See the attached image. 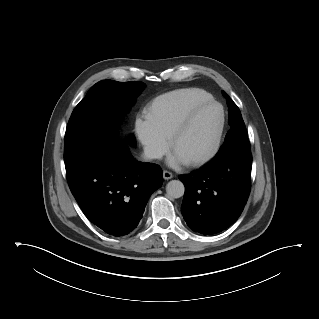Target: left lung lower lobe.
Masks as SVG:
<instances>
[{
    "label": "left lung lower lobe",
    "instance_id": "obj_1",
    "mask_svg": "<svg viewBox=\"0 0 319 319\" xmlns=\"http://www.w3.org/2000/svg\"><path fill=\"white\" fill-rule=\"evenodd\" d=\"M251 151L224 153L179 179L185 185L181 206L187 225L204 235L227 229L242 213L250 192Z\"/></svg>",
    "mask_w": 319,
    "mask_h": 319
}]
</instances>
